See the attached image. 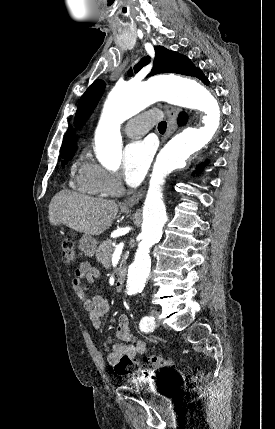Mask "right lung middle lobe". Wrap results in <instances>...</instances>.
<instances>
[{
  "label": "right lung middle lobe",
  "mask_w": 275,
  "mask_h": 429,
  "mask_svg": "<svg viewBox=\"0 0 275 429\" xmlns=\"http://www.w3.org/2000/svg\"><path fill=\"white\" fill-rule=\"evenodd\" d=\"M63 159H65L66 161L71 160V158L73 157V155H68V156H61ZM64 164H66V162H62V167H64Z\"/></svg>",
  "instance_id": "obj_1"
}]
</instances>
